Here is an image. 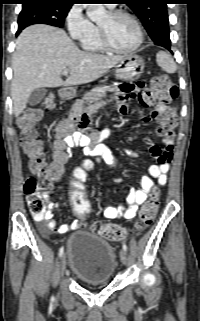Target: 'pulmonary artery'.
I'll list each match as a JSON object with an SVG mask.
<instances>
[{
  "label": "pulmonary artery",
  "mask_w": 200,
  "mask_h": 321,
  "mask_svg": "<svg viewBox=\"0 0 200 321\" xmlns=\"http://www.w3.org/2000/svg\"><path fill=\"white\" fill-rule=\"evenodd\" d=\"M109 7H113V5H109Z\"/></svg>",
  "instance_id": "obj_1"
}]
</instances>
